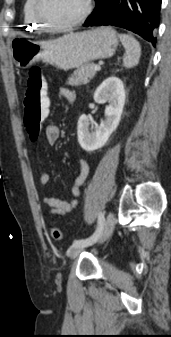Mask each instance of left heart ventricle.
Returning a JSON list of instances; mask_svg holds the SVG:
<instances>
[{
    "mask_svg": "<svg viewBox=\"0 0 171 337\" xmlns=\"http://www.w3.org/2000/svg\"><path fill=\"white\" fill-rule=\"evenodd\" d=\"M85 0H44L43 13L56 24L76 19L84 10Z\"/></svg>",
    "mask_w": 171,
    "mask_h": 337,
    "instance_id": "1",
    "label": "left heart ventricle"
}]
</instances>
